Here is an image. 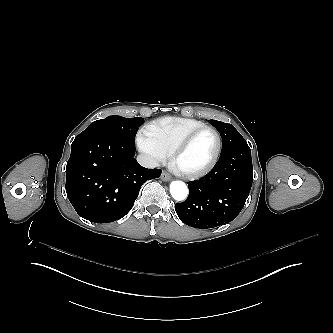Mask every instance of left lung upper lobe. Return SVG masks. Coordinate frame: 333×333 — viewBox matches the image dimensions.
I'll list each match as a JSON object with an SVG mask.
<instances>
[{
  "mask_svg": "<svg viewBox=\"0 0 333 333\" xmlns=\"http://www.w3.org/2000/svg\"><path fill=\"white\" fill-rule=\"evenodd\" d=\"M209 122L219 131L222 137V151L224 154L234 147L247 144L242 135L234 128L233 125L220 122L217 120H209Z\"/></svg>",
  "mask_w": 333,
  "mask_h": 333,
  "instance_id": "5c2ea615",
  "label": "left lung upper lobe"
}]
</instances>
